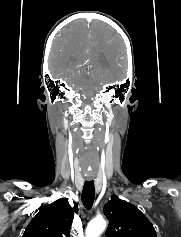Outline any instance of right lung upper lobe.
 Listing matches in <instances>:
<instances>
[{"instance_id": "1", "label": "right lung upper lobe", "mask_w": 181, "mask_h": 237, "mask_svg": "<svg viewBox=\"0 0 181 237\" xmlns=\"http://www.w3.org/2000/svg\"><path fill=\"white\" fill-rule=\"evenodd\" d=\"M77 213V204L72 208L67 198H61L45 206L31 220L23 237H70V228Z\"/></svg>"}]
</instances>
